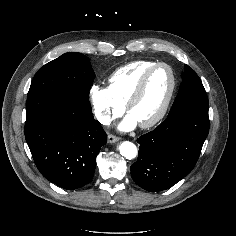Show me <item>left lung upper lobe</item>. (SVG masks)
<instances>
[{
	"mask_svg": "<svg viewBox=\"0 0 236 236\" xmlns=\"http://www.w3.org/2000/svg\"><path fill=\"white\" fill-rule=\"evenodd\" d=\"M182 79L178 95L168 116L185 111L208 114L209 102L204 86L195 71L188 65L184 66Z\"/></svg>",
	"mask_w": 236,
	"mask_h": 236,
	"instance_id": "5c2ea615",
	"label": "left lung upper lobe"
}]
</instances>
